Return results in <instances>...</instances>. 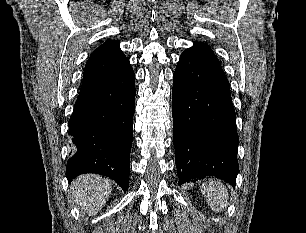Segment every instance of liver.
I'll return each instance as SVG.
<instances>
[{
  "label": "liver",
  "instance_id": "liver-1",
  "mask_svg": "<svg viewBox=\"0 0 306 233\" xmlns=\"http://www.w3.org/2000/svg\"><path fill=\"white\" fill-rule=\"evenodd\" d=\"M74 202L89 216H95L105 205L112 190L110 180L95 174L82 175L71 184Z\"/></svg>",
  "mask_w": 306,
  "mask_h": 233
}]
</instances>
